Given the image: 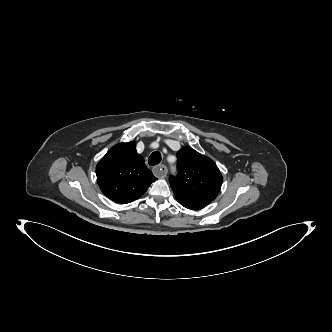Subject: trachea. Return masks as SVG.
I'll use <instances>...</instances> for the list:
<instances>
[{"mask_svg":"<svg viewBox=\"0 0 332 332\" xmlns=\"http://www.w3.org/2000/svg\"><path fill=\"white\" fill-rule=\"evenodd\" d=\"M161 159L162 158L160 152L155 151L150 155L148 162L150 165L154 166L159 164L161 162Z\"/></svg>","mask_w":332,"mask_h":332,"instance_id":"3493384b","label":"trachea"}]
</instances>
